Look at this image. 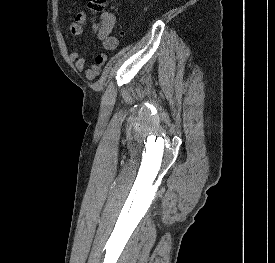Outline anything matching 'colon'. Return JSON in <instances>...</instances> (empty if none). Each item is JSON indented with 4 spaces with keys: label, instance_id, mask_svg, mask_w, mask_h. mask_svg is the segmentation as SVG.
Returning <instances> with one entry per match:
<instances>
[{
    "label": "colon",
    "instance_id": "colon-1",
    "mask_svg": "<svg viewBox=\"0 0 275 263\" xmlns=\"http://www.w3.org/2000/svg\"><path fill=\"white\" fill-rule=\"evenodd\" d=\"M106 5V0H89L88 7L93 12H100L104 9ZM97 28L99 31H103L105 29V22L103 21L101 24H97Z\"/></svg>",
    "mask_w": 275,
    "mask_h": 263
}]
</instances>
